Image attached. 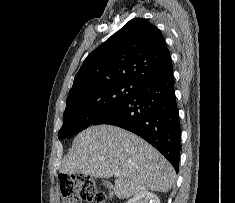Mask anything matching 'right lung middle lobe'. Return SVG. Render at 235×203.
<instances>
[{
  "instance_id": "right-lung-middle-lobe-1",
  "label": "right lung middle lobe",
  "mask_w": 235,
  "mask_h": 203,
  "mask_svg": "<svg viewBox=\"0 0 235 203\" xmlns=\"http://www.w3.org/2000/svg\"><path fill=\"white\" fill-rule=\"evenodd\" d=\"M139 85L134 81L111 80L69 93L58 138L70 137L94 124L126 101Z\"/></svg>"
}]
</instances>
